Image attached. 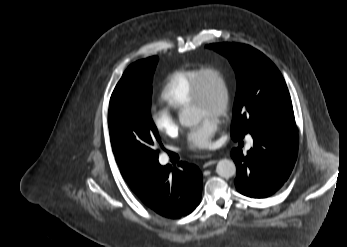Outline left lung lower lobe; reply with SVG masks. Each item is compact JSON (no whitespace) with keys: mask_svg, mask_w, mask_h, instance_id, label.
<instances>
[{"mask_svg":"<svg viewBox=\"0 0 347 247\" xmlns=\"http://www.w3.org/2000/svg\"><path fill=\"white\" fill-rule=\"evenodd\" d=\"M250 135L253 138V148L246 155L240 148L231 151L237 168L234 182L241 194L265 198L280 189L291 174L297 158V128L270 125Z\"/></svg>","mask_w":347,"mask_h":247,"instance_id":"0a47b994","label":"left lung lower lobe"}]
</instances>
